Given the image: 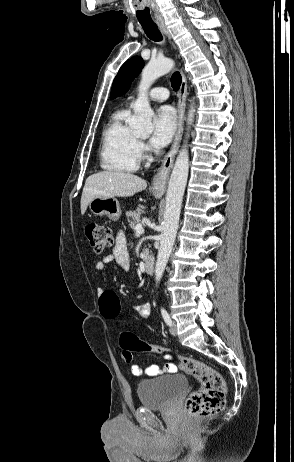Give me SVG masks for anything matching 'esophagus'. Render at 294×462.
<instances>
[{
  "instance_id": "34e87169",
  "label": "esophagus",
  "mask_w": 294,
  "mask_h": 462,
  "mask_svg": "<svg viewBox=\"0 0 294 462\" xmlns=\"http://www.w3.org/2000/svg\"><path fill=\"white\" fill-rule=\"evenodd\" d=\"M160 30L171 40V35L164 23V21L157 22ZM182 81L180 85V90L178 93V103H177V112H178V121H177V131L172 143L170 150L164 157V160L158 169L156 175L153 178L151 184V190L154 192L164 193L166 190L168 178L173 167L175 156L179 150L183 128H184V115L187 99V81L184 72L181 73Z\"/></svg>"
}]
</instances>
